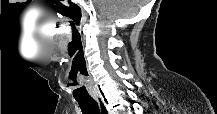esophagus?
Listing matches in <instances>:
<instances>
[{
    "label": "esophagus",
    "instance_id": "obj_1",
    "mask_svg": "<svg viewBox=\"0 0 217 114\" xmlns=\"http://www.w3.org/2000/svg\"><path fill=\"white\" fill-rule=\"evenodd\" d=\"M94 98L99 105L100 113L104 114L106 112V108H105V102H104L103 98L100 95H97Z\"/></svg>",
    "mask_w": 217,
    "mask_h": 114
}]
</instances>
